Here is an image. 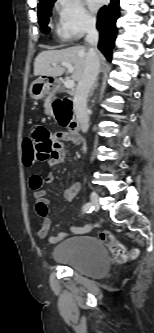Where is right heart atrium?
Instances as JSON below:
<instances>
[{
    "label": "right heart atrium",
    "instance_id": "obj_1",
    "mask_svg": "<svg viewBox=\"0 0 154 333\" xmlns=\"http://www.w3.org/2000/svg\"><path fill=\"white\" fill-rule=\"evenodd\" d=\"M56 33L62 41L79 39L94 28L95 20L82 0H57Z\"/></svg>",
    "mask_w": 154,
    "mask_h": 333
}]
</instances>
